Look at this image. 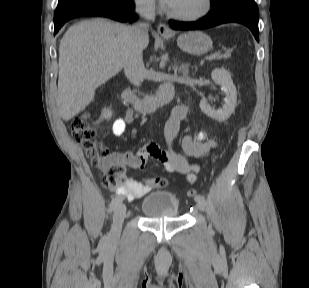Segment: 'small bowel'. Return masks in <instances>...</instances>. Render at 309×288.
<instances>
[{"instance_id": "obj_1", "label": "small bowel", "mask_w": 309, "mask_h": 288, "mask_svg": "<svg viewBox=\"0 0 309 288\" xmlns=\"http://www.w3.org/2000/svg\"><path fill=\"white\" fill-rule=\"evenodd\" d=\"M188 112L186 105H179L171 113L165 125L166 147L161 148L155 143H148L143 146L136 154L126 151L114 154V158L122 165H127L133 169H141L147 161L152 158L159 161L164 168L175 174L186 177L190 182L194 181L200 169L198 164L190 163L187 157L200 158L217 145L216 141L208 140L204 131L197 137L188 134L184 135L181 141L183 153H179L173 148V141L178 135L180 124ZM131 121V115L128 114L124 119H116L112 123V131L115 135H122L126 129V124ZM135 131H132V136ZM154 187V181L143 183L135 179H127L122 187L117 190L119 195L134 200L143 197Z\"/></svg>"}]
</instances>
